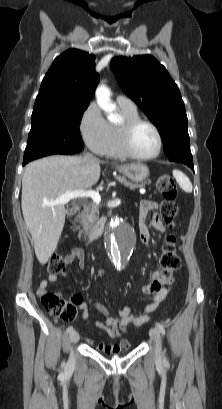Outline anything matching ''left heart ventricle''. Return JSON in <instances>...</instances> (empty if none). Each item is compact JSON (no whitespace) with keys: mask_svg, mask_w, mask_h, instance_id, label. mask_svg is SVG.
I'll return each instance as SVG.
<instances>
[{"mask_svg":"<svg viewBox=\"0 0 222 409\" xmlns=\"http://www.w3.org/2000/svg\"><path fill=\"white\" fill-rule=\"evenodd\" d=\"M131 146L139 155L153 154L158 147L155 131L148 125H139L131 135Z\"/></svg>","mask_w":222,"mask_h":409,"instance_id":"left-heart-ventricle-1","label":"left heart ventricle"}]
</instances>
